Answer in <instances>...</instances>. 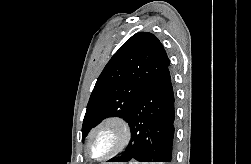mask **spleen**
<instances>
[{
    "mask_svg": "<svg viewBox=\"0 0 251 164\" xmlns=\"http://www.w3.org/2000/svg\"><path fill=\"white\" fill-rule=\"evenodd\" d=\"M133 164H139V163H137V162H134Z\"/></svg>",
    "mask_w": 251,
    "mask_h": 164,
    "instance_id": "spleen-1",
    "label": "spleen"
}]
</instances>
